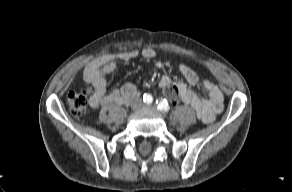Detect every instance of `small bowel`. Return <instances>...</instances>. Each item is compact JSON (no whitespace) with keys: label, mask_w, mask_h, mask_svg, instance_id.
<instances>
[{"label":"small bowel","mask_w":292,"mask_h":192,"mask_svg":"<svg viewBox=\"0 0 292 192\" xmlns=\"http://www.w3.org/2000/svg\"><path fill=\"white\" fill-rule=\"evenodd\" d=\"M141 55L145 59H153L156 56L154 49L147 47L140 53L137 50L124 52L116 56L107 58L102 62L91 63L84 72V77L88 85L95 87V92L90 95V105L97 108L108 104H128L137 95L136 87L131 83H126L120 88H115L111 92L107 91V77L114 72L118 61H129ZM156 66H164L162 61H157ZM179 71L185 79L184 82L172 83L171 79L164 76L161 79V88H171L178 97L186 104L190 105L196 112L202 123H211L217 114L223 109V94L220 88L209 80L203 81V86L207 92V97L196 91L199 83L197 73L187 65H180Z\"/></svg>","instance_id":"small-bowel-1"}]
</instances>
